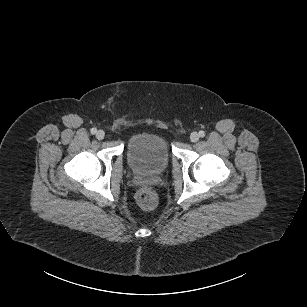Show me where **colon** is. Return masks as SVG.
<instances>
[{"label":"colon","mask_w":307,"mask_h":307,"mask_svg":"<svg viewBox=\"0 0 307 307\" xmlns=\"http://www.w3.org/2000/svg\"><path fill=\"white\" fill-rule=\"evenodd\" d=\"M138 204L144 210H153L158 204V198L150 188H142L136 194Z\"/></svg>","instance_id":"obj_1"}]
</instances>
